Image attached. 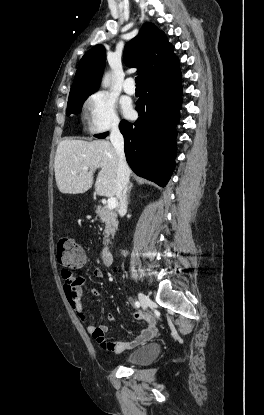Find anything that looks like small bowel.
I'll return each mask as SVG.
<instances>
[{
	"mask_svg": "<svg viewBox=\"0 0 264 415\" xmlns=\"http://www.w3.org/2000/svg\"><path fill=\"white\" fill-rule=\"evenodd\" d=\"M92 275L96 279H102L104 277V272L100 267L94 266L92 268ZM61 277L64 282V292L66 293L70 301V304L73 306L75 313L85 324L87 332L97 341V343L104 350L112 351L115 354H120L125 350L145 345L155 337L157 333V319L154 315H150L136 337L124 341L115 342L107 340L106 333L109 330V326L105 324H91L88 322V319L85 315L82 293V288L85 285V279L83 277L73 275L71 271H68L66 269H62ZM91 292L96 297L100 296L99 291L95 288H93ZM112 318L113 316L109 314L108 319ZM132 319L135 321H140L142 319L141 313H133Z\"/></svg>",
	"mask_w": 264,
	"mask_h": 415,
	"instance_id": "c3829d8e",
	"label": "small bowel"
}]
</instances>
